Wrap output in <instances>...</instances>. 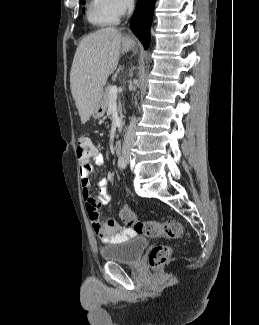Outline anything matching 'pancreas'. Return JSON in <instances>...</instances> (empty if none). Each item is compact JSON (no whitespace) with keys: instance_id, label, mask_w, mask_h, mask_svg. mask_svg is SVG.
I'll return each instance as SVG.
<instances>
[{"instance_id":"1","label":"pancreas","mask_w":259,"mask_h":325,"mask_svg":"<svg viewBox=\"0 0 259 325\" xmlns=\"http://www.w3.org/2000/svg\"><path fill=\"white\" fill-rule=\"evenodd\" d=\"M110 87H111L110 85L106 87L104 96H103V102H104L106 108H108L109 102H110ZM118 112H119L120 118L123 119L122 106H121L120 102H118ZM119 131H121V128H119Z\"/></svg>"}]
</instances>
